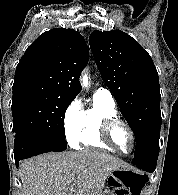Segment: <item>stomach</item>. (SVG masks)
<instances>
[{"label": "stomach", "instance_id": "stomach-1", "mask_svg": "<svg viewBox=\"0 0 178 195\" xmlns=\"http://www.w3.org/2000/svg\"><path fill=\"white\" fill-rule=\"evenodd\" d=\"M128 169H117L111 172L107 178L106 188L102 195H128L127 180L131 176Z\"/></svg>", "mask_w": 178, "mask_h": 195}]
</instances>
